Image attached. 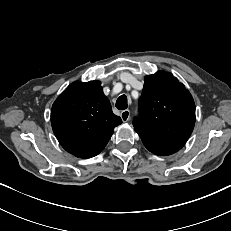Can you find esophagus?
I'll list each match as a JSON object with an SVG mask.
<instances>
[{
  "mask_svg": "<svg viewBox=\"0 0 231 231\" xmlns=\"http://www.w3.org/2000/svg\"><path fill=\"white\" fill-rule=\"evenodd\" d=\"M120 117L123 122H127L130 119V111L128 109L122 111Z\"/></svg>",
  "mask_w": 231,
  "mask_h": 231,
  "instance_id": "esophagus-1",
  "label": "esophagus"
}]
</instances>
